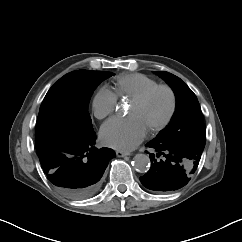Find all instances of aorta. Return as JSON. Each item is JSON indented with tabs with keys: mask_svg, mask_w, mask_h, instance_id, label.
I'll return each mask as SVG.
<instances>
[{
	"mask_svg": "<svg viewBox=\"0 0 242 242\" xmlns=\"http://www.w3.org/2000/svg\"><path fill=\"white\" fill-rule=\"evenodd\" d=\"M133 165L136 170L144 173L150 167V158L146 154H136L134 156Z\"/></svg>",
	"mask_w": 242,
	"mask_h": 242,
	"instance_id": "aorta-1",
	"label": "aorta"
}]
</instances>
